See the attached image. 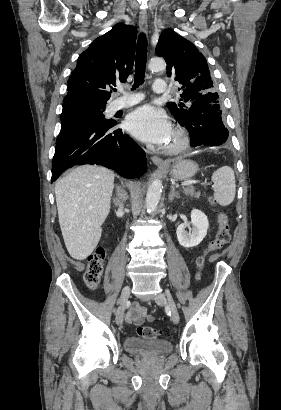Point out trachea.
<instances>
[{
	"label": "trachea",
	"instance_id": "1",
	"mask_svg": "<svg viewBox=\"0 0 281 410\" xmlns=\"http://www.w3.org/2000/svg\"><path fill=\"white\" fill-rule=\"evenodd\" d=\"M147 62V39L144 33L139 35L137 42L136 60H135V75L134 85L132 89H136L144 83L145 68ZM116 91V89H114Z\"/></svg>",
	"mask_w": 281,
	"mask_h": 410
}]
</instances>
